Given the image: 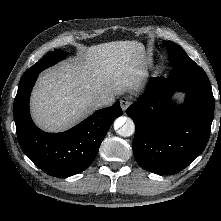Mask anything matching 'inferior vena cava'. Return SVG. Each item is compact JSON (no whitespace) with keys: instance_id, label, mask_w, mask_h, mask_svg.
Instances as JSON below:
<instances>
[{"instance_id":"602c4592","label":"inferior vena cava","mask_w":221,"mask_h":221,"mask_svg":"<svg viewBox=\"0 0 221 221\" xmlns=\"http://www.w3.org/2000/svg\"><path fill=\"white\" fill-rule=\"evenodd\" d=\"M114 102V97L102 96L95 100L96 107H104L112 104Z\"/></svg>"}]
</instances>
